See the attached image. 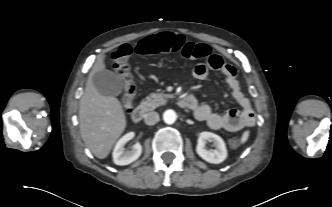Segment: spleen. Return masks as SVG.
I'll list each match as a JSON object with an SVG mask.
<instances>
[{
	"mask_svg": "<svg viewBox=\"0 0 332 207\" xmlns=\"http://www.w3.org/2000/svg\"><path fill=\"white\" fill-rule=\"evenodd\" d=\"M248 137H249V132L248 131L244 132V134L242 135V138H241V143H245L247 141Z\"/></svg>",
	"mask_w": 332,
	"mask_h": 207,
	"instance_id": "obj_1",
	"label": "spleen"
}]
</instances>
